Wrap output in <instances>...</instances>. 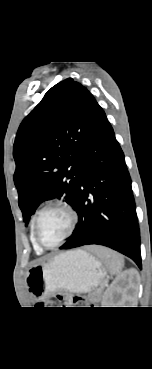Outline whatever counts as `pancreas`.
I'll return each mask as SVG.
<instances>
[{
	"label": "pancreas",
	"mask_w": 152,
	"mask_h": 369,
	"mask_svg": "<svg viewBox=\"0 0 152 369\" xmlns=\"http://www.w3.org/2000/svg\"><path fill=\"white\" fill-rule=\"evenodd\" d=\"M101 298V292L100 291H97L96 293H93L91 295V301L92 302H97L98 300H100Z\"/></svg>",
	"instance_id": "pancreas-1"
}]
</instances>
